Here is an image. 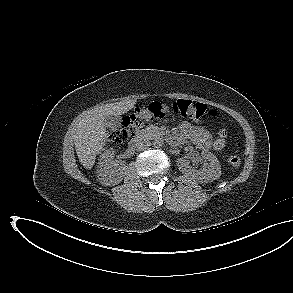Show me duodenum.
Masks as SVG:
<instances>
[{
	"label": "duodenum",
	"instance_id": "410a0bca",
	"mask_svg": "<svg viewBox=\"0 0 293 293\" xmlns=\"http://www.w3.org/2000/svg\"><path fill=\"white\" fill-rule=\"evenodd\" d=\"M173 140H174V138H173ZM141 142H142V136L137 135L134 138H132L131 141L129 142V148L131 150H134L141 144Z\"/></svg>",
	"mask_w": 293,
	"mask_h": 293
}]
</instances>
